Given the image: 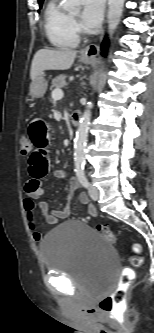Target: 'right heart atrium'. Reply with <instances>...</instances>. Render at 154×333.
<instances>
[{
  "label": "right heart atrium",
  "mask_w": 154,
  "mask_h": 333,
  "mask_svg": "<svg viewBox=\"0 0 154 333\" xmlns=\"http://www.w3.org/2000/svg\"><path fill=\"white\" fill-rule=\"evenodd\" d=\"M75 28H78L77 24L74 23Z\"/></svg>",
  "instance_id": "obj_1"
}]
</instances>
